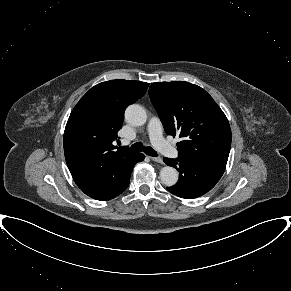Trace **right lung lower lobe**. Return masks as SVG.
Masks as SVG:
<instances>
[{"label":"right lung lower lobe","instance_id":"98d812e1","mask_svg":"<svg viewBox=\"0 0 291 291\" xmlns=\"http://www.w3.org/2000/svg\"><path fill=\"white\" fill-rule=\"evenodd\" d=\"M143 159H144V155L141 153H137L136 157L133 159V162L131 164L129 171L127 172V174L125 175L124 179L121 181L119 186L116 188V190L113 193H111V194H109V195H107L99 200L113 199L116 196H118L119 194H121L123 191H125L129 185L130 177H131V173H132L134 165L139 161H143Z\"/></svg>","mask_w":291,"mask_h":291}]
</instances>
